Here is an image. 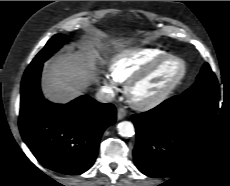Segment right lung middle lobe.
I'll use <instances>...</instances> for the list:
<instances>
[{"mask_svg":"<svg viewBox=\"0 0 230 186\" xmlns=\"http://www.w3.org/2000/svg\"><path fill=\"white\" fill-rule=\"evenodd\" d=\"M67 36L62 34L54 35L45 45V47L36 55L29 66H36L43 64L48 58H50L59 48L62 47Z\"/></svg>","mask_w":230,"mask_h":186,"instance_id":"1","label":"right lung middle lobe"}]
</instances>
